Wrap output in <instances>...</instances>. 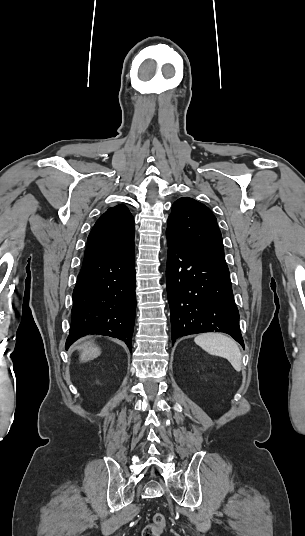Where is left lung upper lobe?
I'll return each mask as SVG.
<instances>
[{"label": "left lung upper lobe", "mask_w": 305, "mask_h": 536, "mask_svg": "<svg viewBox=\"0 0 305 536\" xmlns=\"http://www.w3.org/2000/svg\"><path fill=\"white\" fill-rule=\"evenodd\" d=\"M166 236L188 251L225 259L216 217L192 198L181 197L174 202Z\"/></svg>", "instance_id": "5c2ea615"}]
</instances>
